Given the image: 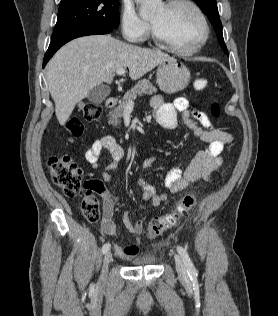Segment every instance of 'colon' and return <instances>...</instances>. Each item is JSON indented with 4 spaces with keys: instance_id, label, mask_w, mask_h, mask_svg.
<instances>
[{
    "instance_id": "colon-1",
    "label": "colon",
    "mask_w": 278,
    "mask_h": 316,
    "mask_svg": "<svg viewBox=\"0 0 278 316\" xmlns=\"http://www.w3.org/2000/svg\"><path fill=\"white\" fill-rule=\"evenodd\" d=\"M206 86V79H197L194 82V88L197 91L204 90ZM77 111L86 121H95L101 115L98 107L86 103L80 104ZM211 112L215 117H218L220 115L219 105L213 104ZM65 127L72 137H79L83 133L82 120L77 116L71 117ZM47 166L52 182L65 196L69 198L80 196L81 210L86 219L91 223L98 222L101 213L96 193L102 189L101 182L97 180L83 181L81 168L68 156L51 157L47 162ZM195 203V195H184L171 212L150 220L147 227V236L156 238L174 227L195 206ZM124 251L127 254L135 255L138 248L135 245H130L125 247Z\"/></svg>"
}]
</instances>
